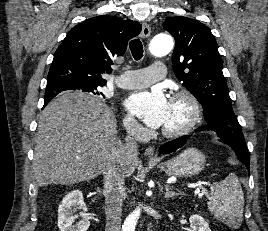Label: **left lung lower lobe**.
<instances>
[{
	"instance_id": "left-lung-lower-lobe-1",
	"label": "left lung lower lobe",
	"mask_w": 268,
	"mask_h": 231,
	"mask_svg": "<svg viewBox=\"0 0 268 231\" xmlns=\"http://www.w3.org/2000/svg\"><path fill=\"white\" fill-rule=\"evenodd\" d=\"M190 137V135H185L180 138H177L175 140H172L170 142L165 143L162 145L159 149V152L161 154H168L171 152H174L178 148L182 147L185 144V141ZM234 150L235 154L237 155V158L246 166V168L249 170V161L250 157L247 152V148H242L236 145H229Z\"/></svg>"
}]
</instances>
